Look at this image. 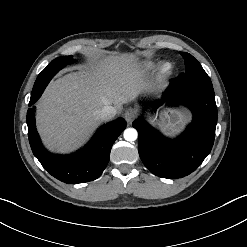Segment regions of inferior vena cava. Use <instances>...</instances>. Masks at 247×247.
I'll list each match as a JSON object with an SVG mask.
<instances>
[{
	"mask_svg": "<svg viewBox=\"0 0 247 247\" xmlns=\"http://www.w3.org/2000/svg\"><path fill=\"white\" fill-rule=\"evenodd\" d=\"M116 113L113 106H104L99 112V117L101 120H110L115 117Z\"/></svg>",
	"mask_w": 247,
	"mask_h": 247,
	"instance_id": "inferior-vena-cava-1",
	"label": "inferior vena cava"
}]
</instances>
